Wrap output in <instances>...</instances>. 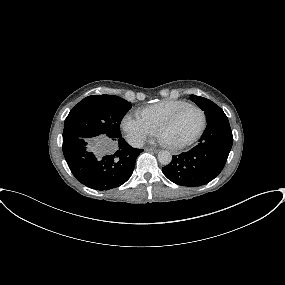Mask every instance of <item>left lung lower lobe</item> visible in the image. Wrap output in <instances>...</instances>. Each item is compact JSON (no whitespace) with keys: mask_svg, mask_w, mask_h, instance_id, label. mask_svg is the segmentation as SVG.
I'll use <instances>...</instances> for the list:
<instances>
[{"mask_svg":"<svg viewBox=\"0 0 285 285\" xmlns=\"http://www.w3.org/2000/svg\"><path fill=\"white\" fill-rule=\"evenodd\" d=\"M233 143L228 118L207 122L199 144L186 153L173 156L162 168L172 182L187 187L209 183L223 170Z\"/></svg>","mask_w":285,"mask_h":285,"instance_id":"obj_1","label":"left lung lower lobe"}]
</instances>
